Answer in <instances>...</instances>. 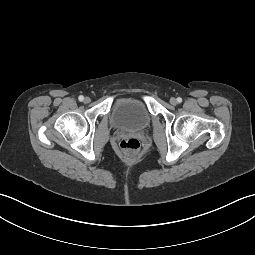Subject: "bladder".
<instances>
[{"mask_svg":"<svg viewBox=\"0 0 255 255\" xmlns=\"http://www.w3.org/2000/svg\"><path fill=\"white\" fill-rule=\"evenodd\" d=\"M110 122L118 129L138 131L149 126L150 114L141 100L120 98L111 107Z\"/></svg>","mask_w":255,"mask_h":255,"instance_id":"obj_1","label":"bladder"}]
</instances>
